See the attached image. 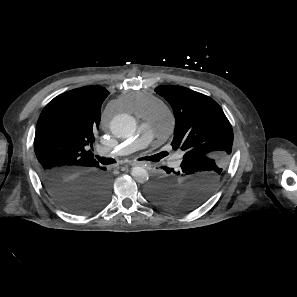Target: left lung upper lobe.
Instances as JSON below:
<instances>
[{"label":"left lung upper lobe","instance_id":"1","mask_svg":"<svg viewBox=\"0 0 297 297\" xmlns=\"http://www.w3.org/2000/svg\"><path fill=\"white\" fill-rule=\"evenodd\" d=\"M155 92L171 105L175 116L172 147L184 151L181 173L166 185H151L149 198L169 210L190 211L202 205L224 177L233 144V130L210 97L181 86H159Z\"/></svg>","mask_w":297,"mask_h":297}]
</instances>
